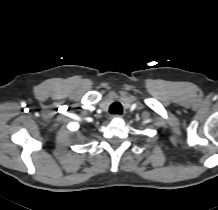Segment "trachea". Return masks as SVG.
<instances>
[{
    "mask_svg": "<svg viewBox=\"0 0 218 210\" xmlns=\"http://www.w3.org/2000/svg\"><path fill=\"white\" fill-rule=\"evenodd\" d=\"M111 114H122V105L119 102H114L109 109Z\"/></svg>",
    "mask_w": 218,
    "mask_h": 210,
    "instance_id": "1",
    "label": "trachea"
}]
</instances>
